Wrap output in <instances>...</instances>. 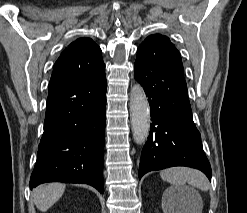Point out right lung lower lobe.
I'll return each mask as SVG.
<instances>
[{
    "instance_id": "98d812e1",
    "label": "right lung lower lobe",
    "mask_w": 247,
    "mask_h": 213,
    "mask_svg": "<svg viewBox=\"0 0 247 213\" xmlns=\"http://www.w3.org/2000/svg\"><path fill=\"white\" fill-rule=\"evenodd\" d=\"M48 91L30 188L58 181L89 184L103 193L105 70Z\"/></svg>"
}]
</instances>
